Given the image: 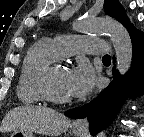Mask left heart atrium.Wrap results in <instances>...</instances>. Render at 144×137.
Wrapping results in <instances>:
<instances>
[{
    "mask_svg": "<svg viewBox=\"0 0 144 137\" xmlns=\"http://www.w3.org/2000/svg\"><path fill=\"white\" fill-rule=\"evenodd\" d=\"M94 69L87 63H80L69 72L67 89L70 96L82 98L90 94L96 84Z\"/></svg>",
    "mask_w": 144,
    "mask_h": 137,
    "instance_id": "left-heart-atrium-1",
    "label": "left heart atrium"
}]
</instances>
